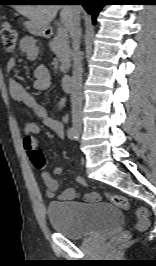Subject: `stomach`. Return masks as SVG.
Here are the masks:
<instances>
[{
    "instance_id": "0dacf381",
    "label": "stomach",
    "mask_w": 156,
    "mask_h": 266,
    "mask_svg": "<svg viewBox=\"0 0 156 266\" xmlns=\"http://www.w3.org/2000/svg\"><path fill=\"white\" fill-rule=\"evenodd\" d=\"M25 25H26V28L29 30V32L35 35H42L46 31L45 28L38 27L35 24H33L31 21L26 22Z\"/></svg>"
}]
</instances>
